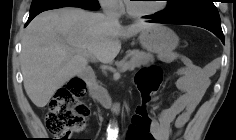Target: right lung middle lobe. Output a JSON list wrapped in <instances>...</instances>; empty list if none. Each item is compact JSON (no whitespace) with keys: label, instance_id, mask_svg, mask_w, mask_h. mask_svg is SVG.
Listing matches in <instances>:
<instances>
[{"label":"right lung middle lobe","instance_id":"right-lung-middle-lobe-1","mask_svg":"<svg viewBox=\"0 0 236 140\" xmlns=\"http://www.w3.org/2000/svg\"><path fill=\"white\" fill-rule=\"evenodd\" d=\"M61 7H80L89 10H98L100 5L97 0H32L30 13Z\"/></svg>","mask_w":236,"mask_h":140}]
</instances>
